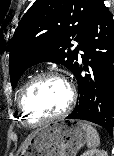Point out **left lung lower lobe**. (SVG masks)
<instances>
[{
  "label": "left lung lower lobe",
  "instance_id": "obj_1",
  "mask_svg": "<svg viewBox=\"0 0 114 156\" xmlns=\"http://www.w3.org/2000/svg\"><path fill=\"white\" fill-rule=\"evenodd\" d=\"M79 50L83 64L74 75L79 87V103L68 119H82L104 127L114 126V20L103 1L95 7ZM82 69L87 73L82 75Z\"/></svg>",
  "mask_w": 114,
  "mask_h": 156
}]
</instances>
